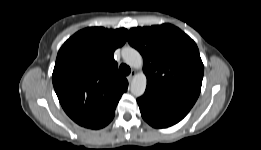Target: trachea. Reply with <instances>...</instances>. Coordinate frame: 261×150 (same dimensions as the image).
<instances>
[{
  "mask_svg": "<svg viewBox=\"0 0 261 150\" xmlns=\"http://www.w3.org/2000/svg\"><path fill=\"white\" fill-rule=\"evenodd\" d=\"M120 73L122 75H129L131 72V69L129 66H127L126 64L122 63L119 67Z\"/></svg>",
  "mask_w": 261,
  "mask_h": 150,
  "instance_id": "trachea-1",
  "label": "trachea"
}]
</instances>
